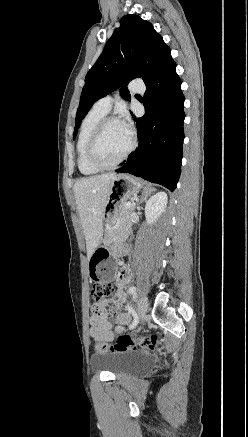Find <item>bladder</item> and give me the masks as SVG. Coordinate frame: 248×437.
I'll use <instances>...</instances> for the list:
<instances>
[{
	"label": "bladder",
	"instance_id": "31cf9c89",
	"mask_svg": "<svg viewBox=\"0 0 248 437\" xmlns=\"http://www.w3.org/2000/svg\"><path fill=\"white\" fill-rule=\"evenodd\" d=\"M91 363L96 368L107 370L114 375L142 371L152 366V358L141 352H126L117 354H94Z\"/></svg>",
	"mask_w": 248,
	"mask_h": 437
}]
</instances>
